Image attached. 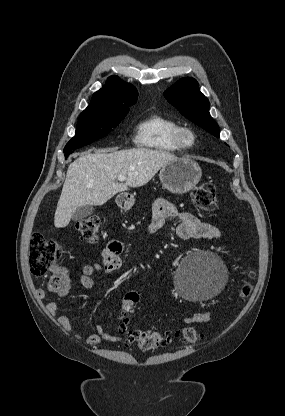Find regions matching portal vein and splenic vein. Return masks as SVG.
Returning <instances> with one entry per match:
<instances>
[{
  "label": "portal vein and splenic vein",
  "instance_id": "obj_1",
  "mask_svg": "<svg viewBox=\"0 0 285 416\" xmlns=\"http://www.w3.org/2000/svg\"><path fill=\"white\" fill-rule=\"evenodd\" d=\"M127 176H117V180H119V182H125Z\"/></svg>",
  "mask_w": 285,
  "mask_h": 416
}]
</instances>
